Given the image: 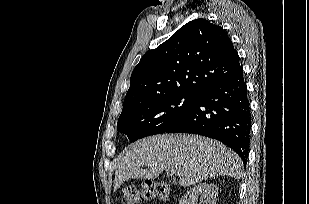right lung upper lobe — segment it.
Segmentation results:
<instances>
[{
  "mask_svg": "<svg viewBox=\"0 0 309 204\" xmlns=\"http://www.w3.org/2000/svg\"><path fill=\"white\" fill-rule=\"evenodd\" d=\"M241 68L232 41L220 26L196 19L149 50L132 72L124 104L157 95H199Z\"/></svg>",
  "mask_w": 309,
  "mask_h": 204,
  "instance_id": "1",
  "label": "right lung upper lobe"
}]
</instances>
